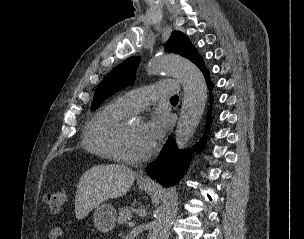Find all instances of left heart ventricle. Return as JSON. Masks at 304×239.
<instances>
[{
	"mask_svg": "<svg viewBox=\"0 0 304 239\" xmlns=\"http://www.w3.org/2000/svg\"><path fill=\"white\" fill-rule=\"evenodd\" d=\"M144 125L145 124L140 121H135L128 124L126 148L131 154L142 155L146 153L141 143V135Z\"/></svg>",
	"mask_w": 304,
	"mask_h": 239,
	"instance_id": "b2bd125f",
	"label": "left heart ventricle"
}]
</instances>
